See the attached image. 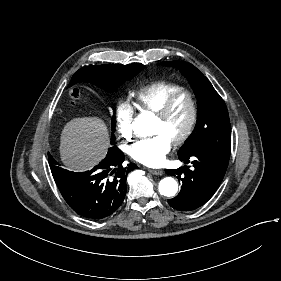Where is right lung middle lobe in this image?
I'll return each instance as SVG.
<instances>
[{
	"mask_svg": "<svg viewBox=\"0 0 281 281\" xmlns=\"http://www.w3.org/2000/svg\"><path fill=\"white\" fill-rule=\"evenodd\" d=\"M144 67L141 63L87 66L79 69L73 77L78 81L91 82L105 90L112 91L126 80L134 77ZM49 163L56 164L57 162L49 155Z\"/></svg>",
	"mask_w": 281,
	"mask_h": 281,
	"instance_id": "dd1d6c3e",
	"label": "right lung middle lobe"
}]
</instances>
